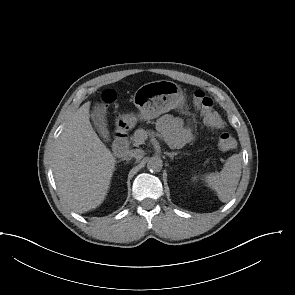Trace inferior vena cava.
<instances>
[{
  "label": "inferior vena cava",
  "mask_w": 295,
  "mask_h": 295,
  "mask_svg": "<svg viewBox=\"0 0 295 295\" xmlns=\"http://www.w3.org/2000/svg\"><path fill=\"white\" fill-rule=\"evenodd\" d=\"M144 151L141 149H133L128 152L129 157H134L136 159H140L143 157ZM128 157V158H129Z\"/></svg>",
  "instance_id": "obj_1"
}]
</instances>
